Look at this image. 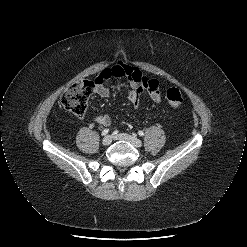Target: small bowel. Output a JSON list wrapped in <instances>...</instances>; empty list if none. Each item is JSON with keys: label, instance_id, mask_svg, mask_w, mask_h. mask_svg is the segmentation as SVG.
I'll list each match as a JSON object with an SVG mask.
<instances>
[{"label": "small bowel", "instance_id": "1", "mask_svg": "<svg viewBox=\"0 0 247 247\" xmlns=\"http://www.w3.org/2000/svg\"><path fill=\"white\" fill-rule=\"evenodd\" d=\"M112 79H126L130 85L127 99L134 108H138L143 92H148L151 99L158 103L162 99L161 87L155 79L145 77L139 68L117 64L111 68L104 69L96 78V93L103 98L109 97L111 91L105 86V82ZM92 124L101 126L110 125L112 118L108 114H98L91 120Z\"/></svg>", "mask_w": 247, "mask_h": 247}]
</instances>
